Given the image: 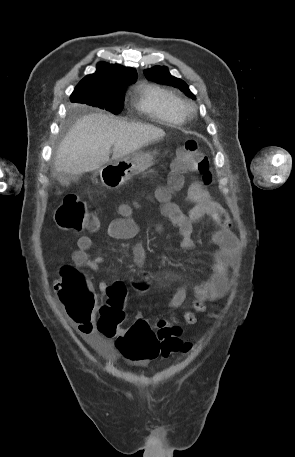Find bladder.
Returning a JSON list of instances; mask_svg holds the SVG:
<instances>
[{"label":"bladder","mask_w":295,"mask_h":457,"mask_svg":"<svg viewBox=\"0 0 295 457\" xmlns=\"http://www.w3.org/2000/svg\"><path fill=\"white\" fill-rule=\"evenodd\" d=\"M84 347H109V338H84Z\"/></svg>","instance_id":"1"}]
</instances>
